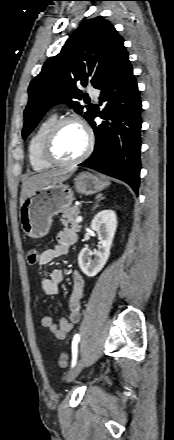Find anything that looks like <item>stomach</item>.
<instances>
[{
    "label": "stomach",
    "mask_w": 174,
    "mask_h": 440,
    "mask_svg": "<svg viewBox=\"0 0 174 440\" xmlns=\"http://www.w3.org/2000/svg\"><path fill=\"white\" fill-rule=\"evenodd\" d=\"M73 187L59 182L44 186L25 199L20 207V222L26 235L41 238L47 235L52 218L68 210L74 200V190L85 195L95 194L110 182L89 172L79 173Z\"/></svg>",
    "instance_id": "stomach-1"
}]
</instances>
